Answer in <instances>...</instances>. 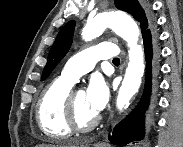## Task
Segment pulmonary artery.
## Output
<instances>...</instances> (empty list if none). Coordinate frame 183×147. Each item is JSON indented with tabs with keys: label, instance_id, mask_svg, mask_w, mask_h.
<instances>
[{
	"label": "pulmonary artery",
	"instance_id": "obj_1",
	"mask_svg": "<svg viewBox=\"0 0 183 147\" xmlns=\"http://www.w3.org/2000/svg\"><path fill=\"white\" fill-rule=\"evenodd\" d=\"M119 54L120 50L115 44L102 42L74 55L64 66L61 77L75 83L82 75L90 72L98 60L115 58Z\"/></svg>",
	"mask_w": 183,
	"mask_h": 147
}]
</instances>
